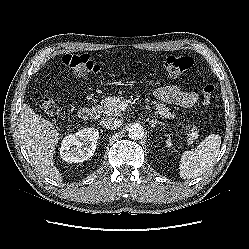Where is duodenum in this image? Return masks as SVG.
I'll use <instances>...</instances> for the list:
<instances>
[{
    "label": "duodenum",
    "mask_w": 249,
    "mask_h": 249,
    "mask_svg": "<svg viewBox=\"0 0 249 249\" xmlns=\"http://www.w3.org/2000/svg\"><path fill=\"white\" fill-rule=\"evenodd\" d=\"M79 117L82 120H93L98 117V111L94 107H84L79 111Z\"/></svg>",
    "instance_id": "410a0bca"
}]
</instances>
